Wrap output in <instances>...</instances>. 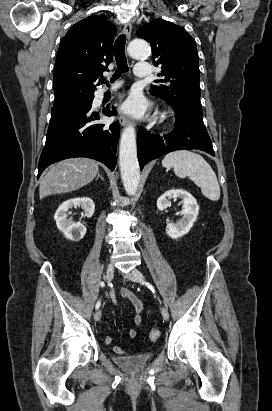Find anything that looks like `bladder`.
<instances>
[{
  "instance_id": "obj_1",
  "label": "bladder",
  "mask_w": 272,
  "mask_h": 411,
  "mask_svg": "<svg viewBox=\"0 0 272 411\" xmlns=\"http://www.w3.org/2000/svg\"><path fill=\"white\" fill-rule=\"evenodd\" d=\"M153 358L152 352L133 354L127 356L113 355L112 361L120 368L129 371L136 372L145 368Z\"/></svg>"
}]
</instances>
